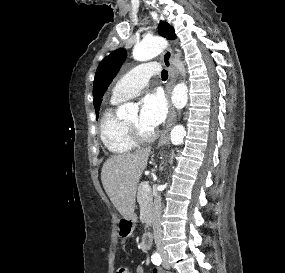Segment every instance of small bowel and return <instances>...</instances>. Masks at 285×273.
<instances>
[{
    "label": "small bowel",
    "mask_w": 285,
    "mask_h": 273,
    "mask_svg": "<svg viewBox=\"0 0 285 273\" xmlns=\"http://www.w3.org/2000/svg\"><path fill=\"white\" fill-rule=\"evenodd\" d=\"M130 273H144V270L141 266H137L136 269L134 270V272H130ZM152 273H163V271L160 269H155V270H153Z\"/></svg>",
    "instance_id": "small-bowel-1"
}]
</instances>
